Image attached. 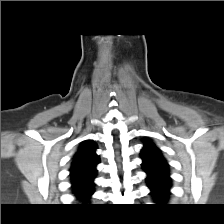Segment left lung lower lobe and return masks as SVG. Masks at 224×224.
<instances>
[{"label": "left lung lower lobe", "mask_w": 224, "mask_h": 224, "mask_svg": "<svg viewBox=\"0 0 224 224\" xmlns=\"http://www.w3.org/2000/svg\"><path fill=\"white\" fill-rule=\"evenodd\" d=\"M146 173L148 187L155 200L159 203L167 201L171 186L169 172L146 171Z\"/></svg>", "instance_id": "obj_1"}]
</instances>
